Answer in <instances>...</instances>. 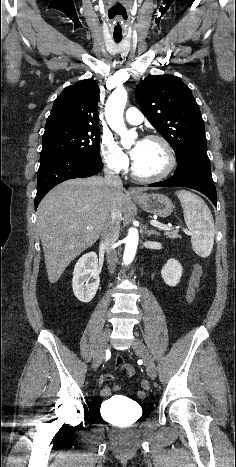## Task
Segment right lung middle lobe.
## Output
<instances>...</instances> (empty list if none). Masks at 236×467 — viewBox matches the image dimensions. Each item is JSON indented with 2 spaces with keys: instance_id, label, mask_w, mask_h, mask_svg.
Here are the masks:
<instances>
[{
  "instance_id": "dd1d6c3e",
  "label": "right lung middle lobe",
  "mask_w": 236,
  "mask_h": 467,
  "mask_svg": "<svg viewBox=\"0 0 236 467\" xmlns=\"http://www.w3.org/2000/svg\"><path fill=\"white\" fill-rule=\"evenodd\" d=\"M40 159L59 153H71L101 161L100 130L90 126L58 125L45 128Z\"/></svg>"
}]
</instances>
